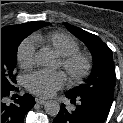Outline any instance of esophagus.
<instances>
[{
  "instance_id": "obj_1",
  "label": "esophagus",
  "mask_w": 123,
  "mask_h": 123,
  "mask_svg": "<svg viewBox=\"0 0 123 123\" xmlns=\"http://www.w3.org/2000/svg\"><path fill=\"white\" fill-rule=\"evenodd\" d=\"M36 102H37L38 104H41V105H44V104H46V103H47V101H46V100H44V99H40V98H36Z\"/></svg>"
}]
</instances>
